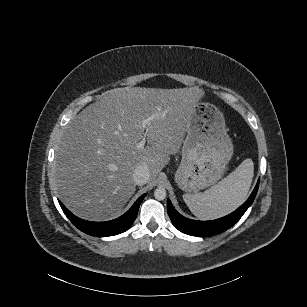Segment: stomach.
<instances>
[{
  "label": "stomach",
  "mask_w": 307,
  "mask_h": 307,
  "mask_svg": "<svg viewBox=\"0 0 307 307\" xmlns=\"http://www.w3.org/2000/svg\"><path fill=\"white\" fill-rule=\"evenodd\" d=\"M182 164L176 182L185 191L215 184L233 155L222 111L210 102H196L189 112Z\"/></svg>",
  "instance_id": "stomach-1"
}]
</instances>
